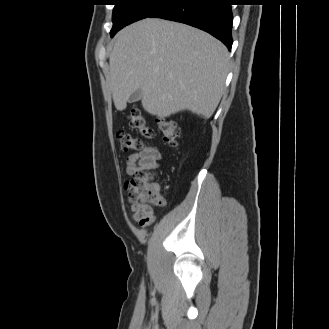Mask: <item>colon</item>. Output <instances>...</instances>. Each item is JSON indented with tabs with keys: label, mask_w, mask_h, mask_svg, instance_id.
I'll list each match as a JSON object with an SVG mask.
<instances>
[{
	"label": "colon",
	"mask_w": 329,
	"mask_h": 329,
	"mask_svg": "<svg viewBox=\"0 0 329 329\" xmlns=\"http://www.w3.org/2000/svg\"><path fill=\"white\" fill-rule=\"evenodd\" d=\"M129 124L140 131L146 139L153 137V130L147 125L141 111L133 107L128 115ZM159 132L166 144L175 148L178 146L180 129L178 125L168 117L161 118L158 122ZM117 139L123 150L138 151L144 143L136 136L125 131L117 133ZM152 175L143 171L135 172L125 184L129 197L140 204L145 211L152 210L155 206H161L163 200L155 185L151 183Z\"/></svg>",
	"instance_id": "1"
}]
</instances>
